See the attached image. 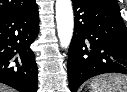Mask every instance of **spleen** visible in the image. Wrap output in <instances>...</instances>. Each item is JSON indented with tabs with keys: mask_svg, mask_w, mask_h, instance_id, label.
<instances>
[{
	"mask_svg": "<svg viewBox=\"0 0 127 92\" xmlns=\"http://www.w3.org/2000/svg\"><path fill=\"white\" fill-rule=\"evenodd\" d=\"M90 92H127V75H100L90 83Z\"/></svg>",
	"mask_w": 127,
	"mask_h": 92,
	"instance_id": "3e777b00",
	"label": "spleen"
}]
</instances>
